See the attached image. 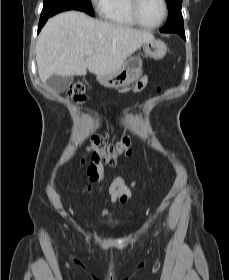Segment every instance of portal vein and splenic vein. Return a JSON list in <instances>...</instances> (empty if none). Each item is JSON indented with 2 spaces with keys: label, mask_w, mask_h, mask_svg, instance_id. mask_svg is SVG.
Segmentation results:
<instances>
[{
  "label": "portal vein and splenic vein",
  "mask_w": 229,
  "mask_h": 280,
  "mask_svg": "<svg viewBox=\"0 0 229 280\" xmlns=\"http://www.w3.org/2000/svg\"><path fill=\"white\" fill-rule=\"evenodd\" d=\"M93 54V51H88V52H86V56H90V55H92Z\"/></svg>",
  "instance_id": "obj_1"
}]
</instances>
